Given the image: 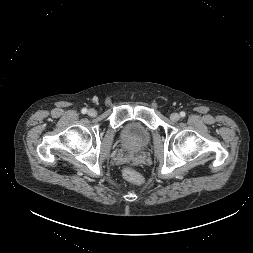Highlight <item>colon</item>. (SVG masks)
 Returning a JSON list of instances; mask_svg holds the SVG:
<instances>
[{"label": "colon", "instance_id": "5ec220e1", "mask_svg": "<svg viewBox=\"0 0 253 253\" xmlns=\"http://www.w3.org/2000/svg\"><path fill=\"white\" fill-rule=\"evenodd\" d=\"M123 176L128 181L136 184H140L143 181L142 176L131 167H126L123 170Z\"/></svg>", "mask_w": 253, "mask_h": 253}]
</instances>
